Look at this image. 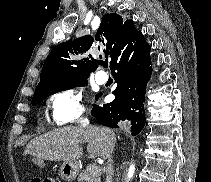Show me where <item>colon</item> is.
I'll return each mask as SVG.
<instances>
[{
  "label": "colon",
  "mask_w": 211,
  "mask_h": 182,
  "mask_svg": "<svg viewBox=\"0 0 211 182\" xmlns=\"http://www.w3.org/2000/svg\"><path fill=\"white\" fill-rule=\"evenodd\" d=\"M36 182H58V181L54 178H46V179H38L36 180Z\"/></svg>",
  "instance_id": "obj_1"
}]
</instances>
